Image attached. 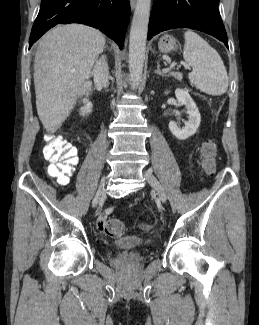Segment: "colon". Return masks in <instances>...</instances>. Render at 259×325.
<instances>
[{"label": "colon", "instance_id": "obj_1", "mask_svg": "<svg viewBox=\"0 0 259 325\" xmlns=\"http://www.w3.org/2000/svg\"><path fill=\"white\" fill-rule=\"evenodd\" d=\"M44 157L50 162L48 172L57 182L65 185L74 173L78 162L76 148L62 137H51L43 150ZM202 167L207 174L215 172L216 146L213 142H206L201 148ZM143 231L151 229L150 224H141ZM104 231L111 237H120L125 232V225L119 219H109L105 223Z\"/></svg>", "mask_w": 259, "mask_h": 325}]
</instances>
